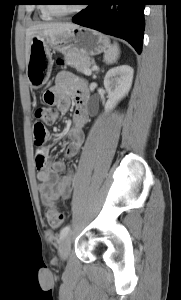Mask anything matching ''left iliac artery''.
I'll use <instances>...</instances> for the list:
<instances>
[{
  "mask_svg": "<svg viewBox=\"0 0 181 300\" xmlns=\"http://www.w3.org/2000/svg\"><path fill=\"white\" fill-rule=\"evenodd\" d=\"M71 226L67 225L64 228H62V230L60 231V238H64L68 235V233L70 232Z\"/></svg>",
  "mask_w": 181,
  "mask_h": 300,
  "instance_id": "left-iliac-artery-1",
  "label": "left iliac artery"
}]
</instances>
